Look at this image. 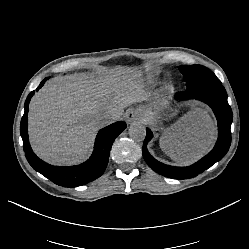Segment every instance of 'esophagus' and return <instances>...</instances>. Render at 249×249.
I'll list each match as a JSON object with an SVG mask.
<instances>
[{
    "label": "esophagus",
    "instance_id": "1",
    "mask_svg": "<svg viewBox=\"0 0 249 249\" xmlns=\"http://www.w3.org/2000/svg\"><path fill=\"white\" fill-rule=\"evenodd\" d=\"M125 120L128 124H133L134 122H136L139 117L136 113V110L134 108H129L125 114H124Z\"/></svg>",
    "mask_w": 249,
    "mask_h": 249
}]
</instances>
